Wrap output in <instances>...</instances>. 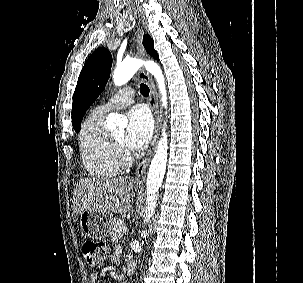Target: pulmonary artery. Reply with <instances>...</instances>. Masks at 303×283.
I'll return each mask as SVG.
<instances>
[{
  "label": "pulmonary artery",
  "instance_id": "pulmonary-artery-1",
  "mask_svg": "<svg viewBox=\"0 0 303 283\" xmlns=\"http://www.w3.org/2000/svg\"><path fill=\"white\" fill-rule=\"evenodd\" d=\"M134 101V90L131 87H126L118 91L112 96L107 103L99 105L98 110L102 112H109L113 110L122 109L129 106Z\"/></svg>",
  "mask_w": 303,
  "mask_h": 283
}]
</instances>
